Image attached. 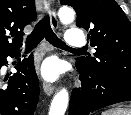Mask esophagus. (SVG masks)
<instances>
[{
  "instance_id": "1",
  "label": "esophagus",
  "mask_w": 131,
  "mask_h": 115,
  "mask_svg": "<svg viewBox=\"0 0 131 115\" xmlns=\"http://www.w3.org/2000/svg\"><path fill=\"white\" fill-rule=\"evenodd\" d=\"M43 3H44V12L47 13L49 11L52 27L54 29H57L58 20H57L55 8H54V5H55L54 0H43ZM43 90L48 96H50L53 94L55 90V86L48 82H43Z\"/></svg>"
}]
</instances>
